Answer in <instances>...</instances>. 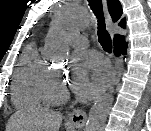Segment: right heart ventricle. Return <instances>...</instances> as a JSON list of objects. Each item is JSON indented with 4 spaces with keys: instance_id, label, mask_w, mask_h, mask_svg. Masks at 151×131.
<instances>
[{
    "instance_id": "obj_1",
    "label": "right heart ventricle",
    "mask_w": 151,
    "mask_h": 131,
    "mask_svg": "<svg viewBox=\"0 0 151 131\" xmlns=\"http://www.w3.org/2000/svg\"><path fill=\"white\" fill-rule=\"evenodd\" d=\"M50 68L32 43L25 49L14 74L12 102L16 107L39 106L44 102L42 85Z\"/></svg>"
}]
</instances>
